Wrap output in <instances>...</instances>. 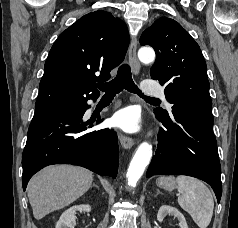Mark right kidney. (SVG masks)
Here are the masks:
<instances>
[{
    "label": "right kidney",
    "instance_id": "ca27d5eb",
    "mask_svg": "<svg viewBox=\"0 0 238 228\" xmlns=\"http://www.w3.org/2000/svg\"><path fill=\"white\" fill-rule=\"evenodd\" d=\"M76 211L90 212L91 206L88 204H82L70 207L62 213L55 228H74Z\"/></svg>",
    "mask_w": 238,
    "mask_h": 228
}]
</instances>
